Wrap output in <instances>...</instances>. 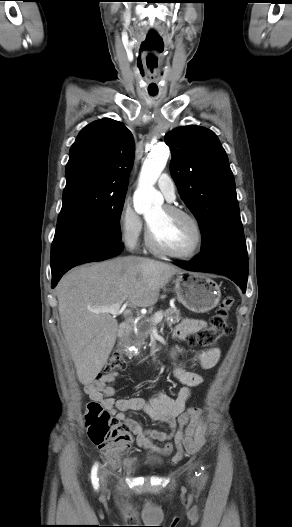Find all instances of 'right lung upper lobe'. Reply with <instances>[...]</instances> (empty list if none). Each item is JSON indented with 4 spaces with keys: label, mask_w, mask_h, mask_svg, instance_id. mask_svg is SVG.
I'll use <instances>...</instances> for the list:
<instances>
[{
    "label": "right lung upper lobe",
    "mask_w": 292,
    "mask_h": 527,
    "mask_svg": "<svg viewBox=\"0 0 292 527\" xmlns=\"http://www.w3.org/2000/svg\"><path fill=\"white\" fill-rule=\"evenodd\" d=\"M133 159V137L124 124L109 118L97 120L82 129L70 149L66 185L127 191Z\"/></svg>",
    "instance_id": "right-lung-upper-lobe-1"
}]
</instances>
